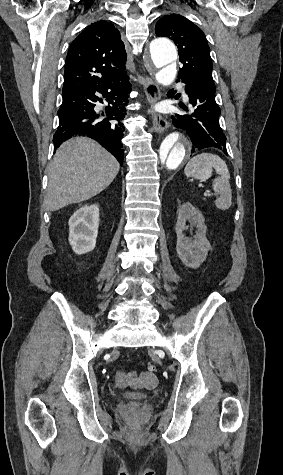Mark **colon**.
I'll use <instances>...</instances> for the list:
<instances>
[{
	"label": "colon",
	"instance_id": "5ec220e1",
	"mask_svg": "<svg viewBox=\"0 0 283 475\" xmlns=\"http://www.w3.org/2000/svg\"><path fill=\"white\" fill-rule=\"evenodd\" d=\"M147 370L149 374L154 375L157 371V365L155 363H148Z\"/></svg>",
	"mask_w": 283,
	"mask_h": 475
}]
</instances>
